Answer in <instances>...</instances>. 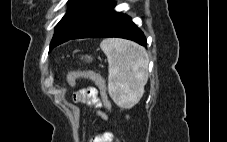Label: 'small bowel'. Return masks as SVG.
Listing matches in <instances>:
<instances>
[{
    "mask_svg": "<svg viewBox=\"0 0 227 142\" xmlns=\"http://www.w3.org/2000/svg\"><path fill=\"white\" fill-rule=\"evenodd\" d=\"M73 98L76 102L86 103L93 106L97 109V114L99 117H101L103 120L108 119L107 114L101 110L102 103L98 97V91L96 88L88 87L77 90L74 93ZM91 142H119V140L112 131L101 130L95 133Z\"/></svg>",
    "mask_w": 227,
    "mask_h": 142,
    "instance_id": "small-bowel-1",
    "label": "small bowel"
}]
</instances>
